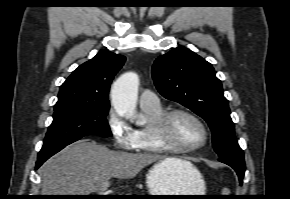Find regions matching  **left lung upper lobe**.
<instances>
[{"instance_id":"5c2ea615","label":"left lung upper lobe","mask_w":290,"mask_h":199,"mask_svg":"<svg viewBox=\"0 0 290 199\" xmlns=\"http://www.w3.org/2000/svg\"><path fill=\"white\" fill-rule=\"evenodd\" d=\"M212 65L185 47H177L156 59L152 76L158 91L201 116L212 131L219 157H243L234 133L228 100Z\"/></svg>"}]
</instances>
